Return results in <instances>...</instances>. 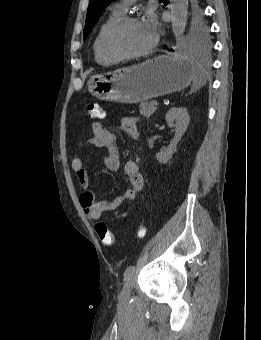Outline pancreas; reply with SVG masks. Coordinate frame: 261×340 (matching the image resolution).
Masks as SVG:
<instances>
[{
  "label": "pancreas",
  "instance_id": "obj_1",
  "mask_svg": "<svg viewBox=\"0 0 261 340\" xmlns=\"http://www.w3.org/2000/svg\"><path fill=\"white\" fill-rule=\"evenodd\" d=\"M155 101L145 102L140 104V114L144 117H150L155 111L156 107L154 106Z\"/></svg>",
  "mask_w": 261,
  "mask_h": 340
}]
</instances>
